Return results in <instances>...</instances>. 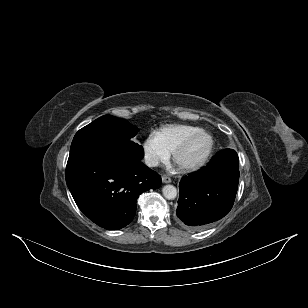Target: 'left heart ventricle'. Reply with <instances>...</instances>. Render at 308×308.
Returning <instances> with one entry per match:
<instances>
[{
    "label": "left heart ventricle",
    "mask_w": 308,
    "mask_h": 308,
    "mask_svg": "<svg viewBox=\"0 0 308 308\" xmlns=\"http://www.w3.org/2000/svg\"><path fill=\"white\" fill-rule=\"evenodd\" d=\"M210 144L209 137L199 136L188 148V150L181 156L182 163H193L198 161L206 153Z\"/></svg>",
    "instance_id": "1"
}]
</instances>
